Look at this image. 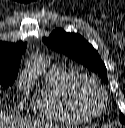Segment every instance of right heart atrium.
<instances>
[{
  "mask_svg": "<svg viewBox=\"0 0 125 128\" xmlns=\"http://www.w3.org/2000/svg\"><path fill=\"white\" fill-rule=\"evenodd\" d=\"M30 86V82L27 78L22 77L21 80L19 81V88L21 91H28Z\"/></svg>",
  "mask_w": 125,
  "mask_h": 128,
  "instance_id": "obj_1",
  "label": "right heart atrium"
}]
</instances>
